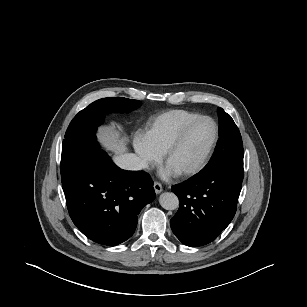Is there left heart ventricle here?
<instances>
[{"instance_id":"1","label":"left heart ventricle","mask_w":307,"mask_h":307,"mask_svg":"<svg viewBox=\"0 0 307 307\" xmlns=\"http://www.w3.org/2000/svg\"><path fill=\"white\" fill-rule=\"evenodd\" d=\"M213 136L211 122L204 120L194 125L169 157L167 167L178 173L196 166L205 155Z\"/></svg>"}]
</instances>
